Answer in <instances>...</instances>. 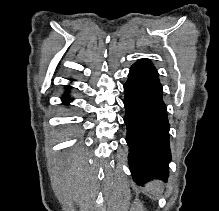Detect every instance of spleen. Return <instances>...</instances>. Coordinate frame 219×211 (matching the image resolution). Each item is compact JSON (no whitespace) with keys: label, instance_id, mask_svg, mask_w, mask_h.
I'll return each instance as SVG.
<instances>
[{"label":"spleen","instance_id":"3e777b00","mask_svg":"<svg viewBox=\"0 0 219 211\" xmlns=\"http://www.w3.org/2000/svg\"><path fill=\"white\" fill-rule=\"evenodd\" d=\"M146 187H148L149 191L158 193V191H161V181H152V183H147Z\"/></svg>","mask_w":219,"mask_h":211}]
</instances>
